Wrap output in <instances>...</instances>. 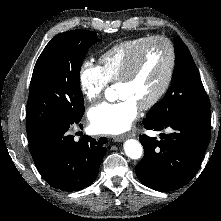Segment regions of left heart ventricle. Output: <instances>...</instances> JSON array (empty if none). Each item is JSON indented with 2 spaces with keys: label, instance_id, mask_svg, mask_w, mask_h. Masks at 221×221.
Wrapping results in <instances>:
<instances>
[{
  "label": "left heart ventricle",
  "instance_id": "1",
  "mask_svg": "<svg viewBox=\"0 0 221 221\" xmlns=\"http://www.w3.org/2000/svg\"><path fill=\"white\" fill-rule=\"evenodd\" d=\"M169 66V52L163 42L149 45L131 81L118 83L121 98L133 99L139 107L149 101L163 84Z\"/></svg>",
  "mask_w": 221,
  "mask_h": 221
}]
</instances>
